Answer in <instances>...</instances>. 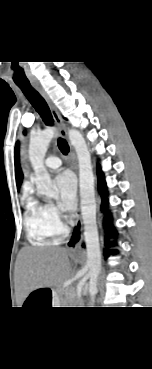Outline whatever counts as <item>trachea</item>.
<instances>
[{"instance_id": "trachea-1", "label": "trachea", "mask_w": 152, "mask_h": 369, "mask_svg": "<svg viewBox=\"0 0 152 369\" xmlns=\"http://www.w3.org/2000/svg\"><path fill=\"white\" fill-rule=\"evenodd\" d=\"M17 86L22 90L29 102L39 113L45 124L52 125L53 117L45 99L31 86L30 83H18ZM58 147L64 155L68 154L69 146L64 139L58 138Z\"/></svg>"}]
</instances>
